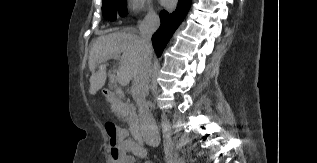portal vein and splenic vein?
I'll return each instance as SVG.
<instances>
[{
    "label": "portal vein and splenic vein",
    "instance_id": "1",
    "mask_svg": "<svg viewBox=\"0 0 317 163\" xmlns=\"http://www.w3.org/2000/svg\"><path fill=\"white\" fill-rule=\"evenodd\" d=\"M114 59H118V58H114ZM118 80H119V78H118V74L117 75H115V74H112L111 76H110V82H111V84H115V83H117L118 82Z\"/></svg>",
    "mask_w": 317,
    "mask_h": 163
}]
</instances>
